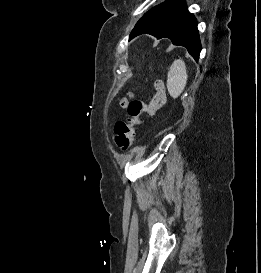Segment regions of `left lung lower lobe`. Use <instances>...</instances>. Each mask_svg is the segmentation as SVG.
Here are the masks:
<instances>
[{"mask_svg": "<svg viewBox=\"0 0 261 273\" xmlns=\"http://www.w3.org/2000/svg\"><path fill=\"white\" fill-rule=\"evenodd\" d=\"M144 33L157 39L169 38L174 45L185 47L196 61L199 59L201 44L197 21L184 0H167L152 8L137 22L129 39Z\"/></svg>", "mask_w": 261, "mask_h": 273, "instance_id": "0a47b994", "label": "left lung lower lobe"}]
</instances>
